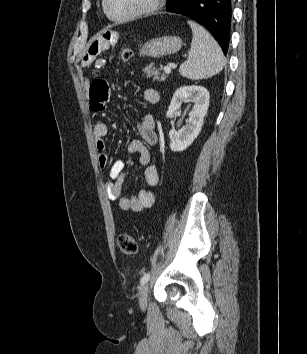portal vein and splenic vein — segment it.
<instances>
[{
    "label": "portal vein and splenic vein",
    "instance_id": "portal-vein-and-splenic-vein-1",
    "mask_svg": "<svg viewBox=\"0 0 307 354\" xmlns=\"http://www.w3.org/2000/svg\"><path fill=\"white\" fill-rule=\"evenodd\" d=\"M171 67H172V63H169L167 66L164 67V72L166 74H170L171 73Z\"/></svg>",
    "mask_w": 307,
    "mask_h": 354
}]
</instances>
